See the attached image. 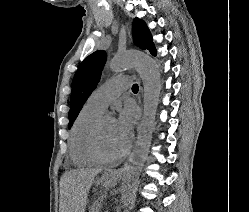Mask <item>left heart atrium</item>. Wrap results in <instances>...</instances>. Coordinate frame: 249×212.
<instances>
[{
    "mask_svg": "<svg viewBox=\"0 0 249 212\" xmlns=\"http://www.w3.org/2000/svg\"><path fill=\"white\" fill-rule=\"evenodd\" d=\"M134 114L132 110L122 112L114 120V134L122 152L127 150L131 143Z\"/></svg>",
    "mask_w": 249,
    "mask_h": 212,
    "instance_id": "left-heart-atrium-1",
    "label": "left heart atrium"
}]
</instances>
